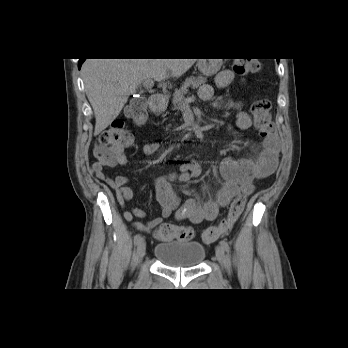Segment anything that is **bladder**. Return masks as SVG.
Segmentation results:
<instances>
[{
	"label": "bladder",
	"instance_id": "obj_1",
	"mask_svg": "<svg viewBox=\"0 0 348 348\" xmlns=\"http://www.w3.org/2000/svg\"><path fill=\"white\" fill-rule=\"evenodd\" d=\"M153 254L166 266L185 268L200 265L206 251L205 247L198 242L174 240L156 245Z\"/></svg>",
	"mask_w": 348,
	"mask_h": 348
}]
</instances>
